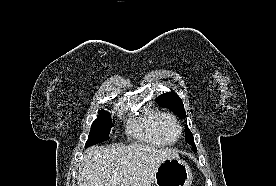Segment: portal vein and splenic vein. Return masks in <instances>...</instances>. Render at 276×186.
<instances>
[{"label":"portal vein and splenic vein","instance_id":"18ae733b","mask_svg":"<svg viewBox=\"0 0 276 186\" xmlns=\"http://www.w3.org/2000/svg\"><path fill=\"white\" fill-rule=\"evenodd\" d=\"M115 180L120 181V178L118 177V178H117V179H115Z\"/></svg>","mask_w":276,"mask_h":186}]
</instances>
